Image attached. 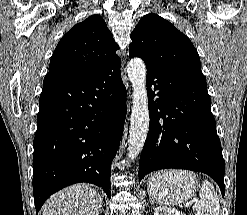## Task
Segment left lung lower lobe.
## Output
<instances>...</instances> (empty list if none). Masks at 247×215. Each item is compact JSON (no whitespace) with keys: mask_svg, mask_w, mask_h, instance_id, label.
<instances>
[{"mask_svg":"<svg viewBox=\"0 0 247 215\" xmlns=\"http://www.w3.org/2000/svg\"><path fill=\"white\" fill-rule=\"evenodd\" d=\"M146 67L150 125L139 180L160 169H187L212 177L224 196L225 165L206 81Z\"/></svg>","mask_w":247,"mask_h":215,"instance_id":"1","label":"left lung lower lobe"}]
</instances>
